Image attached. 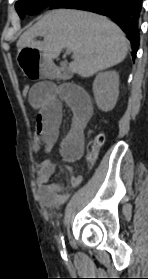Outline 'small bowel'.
Instances as JSON below:
<instances>
[{"mask_svg":"<svg viewBox=\"0 0 148 279\" xmlns=\"http://www.w3.org/2000/svg\"><path fill=\"white\" fill-rule=\"evenodd\" d=\"M28 100L36 110L32 144L34 152H38L42 147L49 152L56 145L63 103L74 112L71 124L60 143V154L71 174L61 181L51 182L57 167L52 160L47 159L40 164L37 176L38 195L42 203L47 206L60 205L82 181V176L74 174L69 164L83 155L85 129L93 114L92 101L87 92L77 85H57L52 82L34 84Z\"/></svg>","mask_w":148,"mask_h":279,"instance_id":"obj_1","label":"small bowel"}]
</instances>
